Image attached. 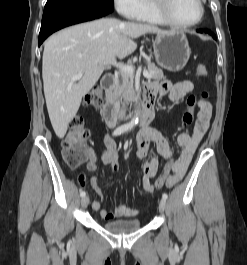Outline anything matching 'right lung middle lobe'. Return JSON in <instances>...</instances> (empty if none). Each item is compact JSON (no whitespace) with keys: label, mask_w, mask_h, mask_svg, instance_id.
I'll use <instances>...</instances> for the list:
<instances>
[{"label":"right lung middle lobe","mask_w":247,"mask_h":265,"mask_svg":"<svg viewBox=\"0 0 247 265\" xmlns=\"http://www.w3.org/2000/svg\"><path fill=\"white\" fill-rule=\"evenodd\" d=\"M103 1H106V2L111 3V4L114 3L113 0H103Z\"/></svg>","instance_id":"obj_1"}]
</instances>
